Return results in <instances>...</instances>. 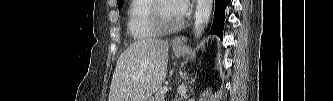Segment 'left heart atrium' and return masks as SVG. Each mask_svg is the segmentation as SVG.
Here are the masks:
<instances>
[{"label": "left heart atrium", "mask_w": 333, "mask_h": 101, "mask_svg": "<svg viewBox=\"0 0 333 101\" xmlns=\"http://www.w3.org/2000/svg\"><path fill=\"white\" fill-rule=\"evenodd\" d=\"M189 1L188 0H175L172 2V7L174 11L180 16H184L188 10Z\"/></svg>", "instance_id": "obj_1"}]
</instances>
